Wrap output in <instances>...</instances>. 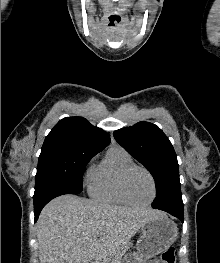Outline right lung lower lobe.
Wrapping results in <instances>:
<instances>
[{"label": "right lung lower lobe", "instance_id": "right-lung-lower-lobe-1", "mask_svg": "<svg viewBox=\"0 0 220 263\" xmlns=\"http://www.w3.org/2000/svg\"><path fill=\"white\" fill-rule=\"evenodd\" d=\"M64 194H79L78 192L67 190V189H49L36 196L34 199V214L35 222L37 221L42 208L53 198Z\"/></svg>", "mask_w": 220, "mask_h": 263}]
</instances>
